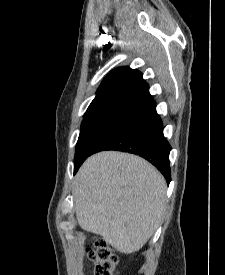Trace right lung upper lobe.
Segmentation results:
<instances>
[{"label":"right lung upper lobe","mask_w":225,"mask_h":275,"mask_svg":"<svg viewBox=\"0 0 225 275\" xmlns=\"http://www.w3.org/2000/svg\"><path fill=\"white\" fill-rule=\"evenodd\" d=\"M153 104L155 102L142 74L129 67H121L103 80L84 119L103 114L128 116Z\"/></svg>","instance_id":"cb5924a9"}]
</instances>
